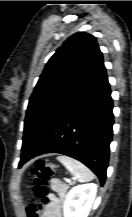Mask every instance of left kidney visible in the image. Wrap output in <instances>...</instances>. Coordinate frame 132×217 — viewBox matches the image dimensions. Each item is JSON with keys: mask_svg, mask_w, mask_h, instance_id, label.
<instances>
[{"mask_svg": "<svg viewBox=\"0 0 132 217\" xmlns=\"http://www.w3.org/2000/svg\"><path fill=\"white\" fill-rule=\"evenodd\" d=\"M96 193L97 185L93 183L73 187L64 203V217H87Z\"/></svg>", "mask_w": 132, "mask_h": 217, "instance_id": "1", "label": "left kidney"}]
</instances>
